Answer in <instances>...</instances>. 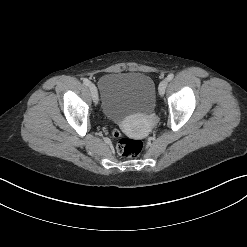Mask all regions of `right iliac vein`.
Segmentation results:
<instances>
[{
	"mask_svg": "<svg viewBox=\"0 0 247 247\" xmlns=\"http://www.w3.org/2000/svg\"><path fill=\"white\" fill-rule=\"evenodd\" d=\"M89 88H90V91H91V95H92L93 101H94L95 104H97V102H98L97 88L93 83H90Z\"/></svg>",
	"mask_w": 247,
	"mask_h": 247,
	"instance_id": "obj_1",
	"label": "right iliac vein"
}]
</instances>
